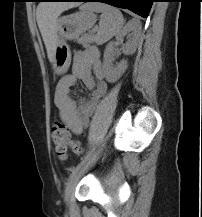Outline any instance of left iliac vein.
Wrapping results in <instances>:
<instances>
[{
	"label": "left iliac vein",
	"mask_w": 202,
	"mask_h": 217,
	"mask_svg": "<svg viewBox=\"0 0 202 217\" xmlns=\"http://www.w3.org/2000/svg\"><path fill=\"white\" fill-rule=\"evenodd\" d=\"M100 152L97 154V156L95 157L98 158ZM87 168L84 167L82 168L73 178L72 180L67 184L66 186V189H65V197H64V200L66 202V204L68 205L70 203V200H71V196L73 194V191L79 181V179L81 178V176L85 173V170Z\"/></svg>",
	"instance_id": "left-iliac-vein-1"
}]
</instances>
